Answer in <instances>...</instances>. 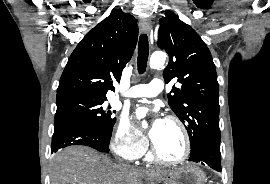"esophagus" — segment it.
<instances>
[{"mask_svg":"<svg viewBox=\"0 0 270 184\" xmlns=\"http://www.w3.org/2000/svg\"><path fill=\"white\" fill-rule=\"evenodd\" d=\"M140 31L144 34H149L151 30V21L147 18H143L139 23Z\"/></svg>","mask_w":270,"mask_h":184,"instance_id":"34e87169","label":"esophagus"}]
</instances>
